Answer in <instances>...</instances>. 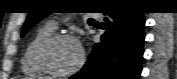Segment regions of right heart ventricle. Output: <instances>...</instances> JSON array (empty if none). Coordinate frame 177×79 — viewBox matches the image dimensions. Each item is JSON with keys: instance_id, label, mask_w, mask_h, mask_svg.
<instances>
[{"instance_id": "right-heart-ventricle-1", "label": "right heart ventricle", "mask_w": 177, "mask_h": 79, "mask_svg": "<svg viewBox=\"0 0 177 79\" xmlns=\"http://www.w3.org/2000/svg\"><path fill=\"white\" fill-rule=\"evenodd\" d=\"M55 28L51 27L49 24L41 27L27 43L22 59H21V70L25 74L40 76L46 74L35 61V52L39 44L54 34Z\"/></svg>"}]
</instances>
